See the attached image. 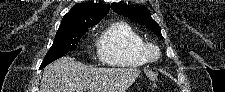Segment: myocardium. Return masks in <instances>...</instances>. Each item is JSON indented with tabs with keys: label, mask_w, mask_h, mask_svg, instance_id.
<instances>
[{
	"label": "myocardium",
	"mask_w": 225,
	"mask_h": 92,
	"mask_svg": "<svg viewBox=\"0 0 225 92\" xmlns=\"http://www.w3.org/2000/svg\"><path fill=\"white\" fill-rule=\"evenodd\" d=\"M143 51H144L146 60L151 63L156 62L160 57V49L157 45L153 43L146 42L144 44Z\"/></svg>",
	"instance_id": "f54148a6"
}]
</instances>
